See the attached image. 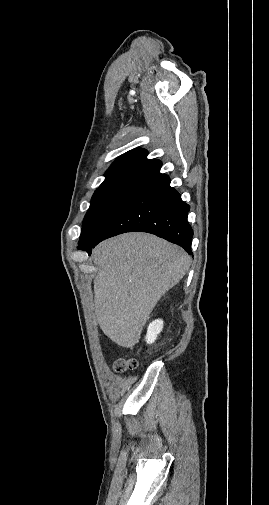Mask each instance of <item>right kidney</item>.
Segmentation results:
<instances>
[{
	"instance_id": "right-kidney-1",
	"label": "right kidney",
	"mask_w": 269,
	"mask_h": 505,
	"mask_svg": "<svg viewBox=\"0 0 269 505\" xmlns=\"http://www.w3.org/2000/svg\"><path fill=\"white\" fill-rule=\"evenodd\" d=\"M163 321L155 320L148 326L146 341L147 343H153L157 338V335L162 331Z\"/></svg>"
}]
</instances>
